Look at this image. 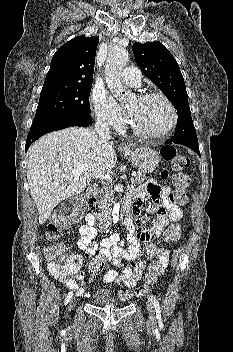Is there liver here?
Here are the masks:
<instances>
[{
    "mask_svg": "<svg viewBox=\"0 0 233 352\" xmlns=\"http://www.w3.org/2000/svg\"><path fill=\"white\" fill-rule=\"evenodd\" d=\"M27 155V179L40 224L61 201L83 192L94 174L110 171L117 161L114 143L83 127L43 136L30 146ZM79 165L87 169L77 175L71 173Z\"/></svg>",
    "mask_w": 233,
    "mask_h": 352,
    "instance_id": "obj_1",
    "label": "liver"
}]
</instances>
